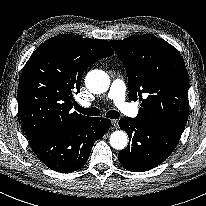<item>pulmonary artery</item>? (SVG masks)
Here are the masks:
<instances>
[{"label": "pulmonary artery", "instance_id": "1", "mask_svg": "<svg viewBox=\"0 0 206 206\" xmlns=\"http://www.w3.org/2000/svg\"><path fill=\"white\" fill-rule=\"evenodd\" d=\"M125 92L126 88L124 82L116 79L112 82L110 86L108 98L112 100L123 113L129 116H135L136 109H134L129 103L125 101ZM82 106L90 107L91 104L88 102H83Z\"/></svg>", "mask_w": 206, "mask_h": 206}]
</instances>
